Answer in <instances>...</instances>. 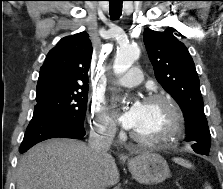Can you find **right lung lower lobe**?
<instances>
[{"label":"right lung lower lobe","mask_w":223,"mask_h":189,"mask_svg":"<svg viewBox=\"0 0 223 189\" xmlns=\"http://www.w3.org/2000/svg\"><path fill=\"white\" fill-rule=\"evenodd\" d=\"M85 134L83 125L73 123L65 117L34 112L19 151L24 153L35 144L50 138H81Z\"/></svg>","instance_id":"right-lung-lower-lobe-1"}]
</instances>
